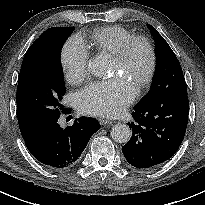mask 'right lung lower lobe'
Segmentation results:
<instances>
[{
	"instance_id": "obj_1",
	"label": "right lung lower lobe",
	"mask_w": 205,
	"mask_h": 205,
	"mask_svg": "<svg viewBox=\"0 0 205 205\" xmlns=\"http://www.w3.org/2000/svg\"><path fill=\"white\" fill-rule=\"evenodd\" d=\"M70 110H65L69 113ZM60 114L53 115L33 127L23 137L29 152L42 164L64 169L76 164L91 136L99 130L93 118L81 117L65 129L58 124Z\"/></svg>"
}]
</instances>
